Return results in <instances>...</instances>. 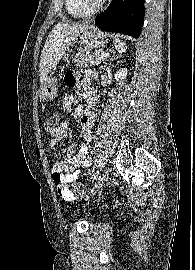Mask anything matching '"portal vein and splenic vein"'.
I'll return each mask as SVG.
<instances>
[{"mask_svg":"<svg viewBox=\"0 0 195 270\" xmlns=\"http://www.w3.org/2000/svg\"><path fill=\"white\" fill-rule=\"evenodd\" d=\"M100 56L102 58H108V57H110V54L109 53H106V52H103V53H100Z\"/></svg>","mask_w":195,"mask_h":270,"instance_id":"portal-vein-and-splenic-vein-1","label":"portal vein and splenic vein"}]
</instances>
